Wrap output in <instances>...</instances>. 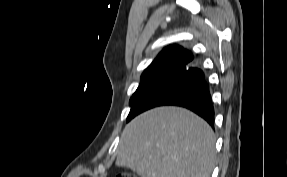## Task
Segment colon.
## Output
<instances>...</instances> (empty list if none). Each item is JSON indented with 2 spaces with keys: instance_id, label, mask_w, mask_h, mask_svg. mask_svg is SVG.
<instances>
[{
  "instance_id": "1",
  "label": "colon",
  "mask_w": 287,
  "mask_h": 177,
  "mask_svg": "<svg viewBox=\"0 0 287 177\" xmlns=\"http://www.w3.org/2000/svg\"><path fill=\"white\" fill-rule=\"evenodd\" d=\"M116 177H135V176L131 174H119Z\"/></svg>"
}]
</instances>
